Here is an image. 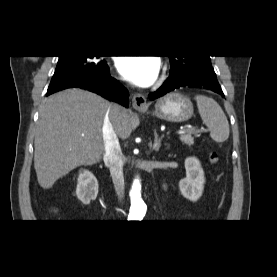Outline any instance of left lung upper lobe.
Segmentation results:
<instances>
[{
    "label": "left lung upper lobe",
    "instance_id": "1",
    "mask_svg": "<svg viewBox=\"0 0 277 277\" xmlns=\"http://www.w3.org/2000/svg\"><path fill=\"white\" fill-rule=\"evenodd\" d=\"M170 74H188L193 71H213L210 56H169Z\"/></svg>",
    "mask_w": 277,
    "mask_h": 277
}]
</instances>
